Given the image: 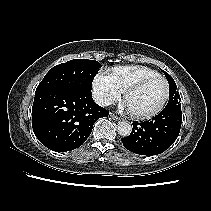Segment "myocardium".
Returning <instances> with one entry per match:
<instances>
[{
	"label": "myocardium",
	"mask_w": 211,
	"mask_h": 211,
	"mask_svg": "<svg viewBox=\"0 0 211 211\" xmlns=\"http://www.w3.org/2000/svg\"><path fill=\"white\" fill-rule=\"evenodd\" d=\"M156 79H160L162 81H164L165 83V86H166V93H165V96L162 100V102L160 103V105L148 112V113H136V112H133L131 111L130 109V113L131 115L136 118V119H139V120H147V119H151L153 117H155L156 115H158L163 109L164 107L166 106L168 100H169V97H170V85H169V82L168 80L162 76V75H155V76H149V77H145L141 80H139L138 82H136L135 84L131 85L130 87H128L125 91H124V101L126 103V100H127V97L135 92V91H138L139 89H141L142 87H144L146 84H148L149 82L153 81V80H156Z\"/></svg>",
	"instance_id": "myocardium-1"
}]
</instances>
